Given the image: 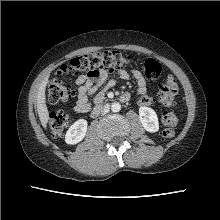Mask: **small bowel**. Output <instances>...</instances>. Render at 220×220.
<instances>
[{"label":"small bowel","instance_id":"c3829d8e","mask_svg":"<svg viewBox=\"0 0 220 220\" xmlns=\"http://www.w3.org/2000/svg\"><path fill=\"white\" fill-rule=\"evenodd\" d=\"M118 74L122 79H128L130 76L126 70H119ZM133 76L137 82L138 103L144 106L151 105L153 99L146 95L147 86L144 77L138 70L133 71ZM107 77L108 73L105 70H98L95 75L81 74L77 77L78 96L75 106L77 113H88L92 108V103L97 104L102 101L104 95L101 92L97 93V91L107 80ZM115 83V79H109L106 88H112ZM145 100H147V102H145Z\"/></svg>","mask_w":220,"mask_h":220}]
</instances>
